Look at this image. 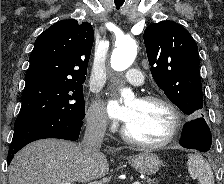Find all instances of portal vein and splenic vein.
<instances>
[{"mask_svg":"<svg viewBox=\"0 0 224 184\" xmlns=\"http://www.w3.org/2000/svg\"><path fill=\"white\" fill-rule=\"evenodd\" d=\"M63 184H71L70 182H65V183H63ZM132 184H141L140 182H133Z\"/></svg>","mask_w":224,"mask_h":184,"instance_id":"1","label":"portal vein and splenic vein"}]
</instances>
